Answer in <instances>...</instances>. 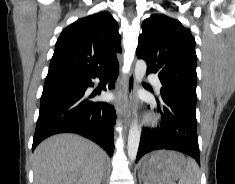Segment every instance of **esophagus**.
Listing matches in <instances>:
<instances>
[{
  "label": "esophagus",
  "mask_w": 235,
  "mask_h": 184,
  "mask_svg": "<svg viewBox=\"0 0 235 184\" xmlns=\"http://www.w3.org/2000/svg\"><path fill=\"white\" fill-rule=\"evenodd\" d=\"M135 91V75L132 68L126 78L125 86L122 90L121 113L124 122L130 125L134 109L133 93Z\"/></svg>",
  "instance_id": "34e87169"
}]
</instances>
